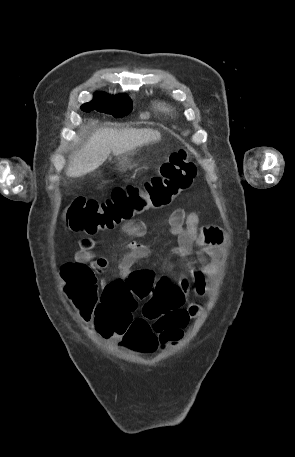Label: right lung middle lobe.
Returning <instances> with one entry per match:
<instances>
[{
  "label": "right lung middle lobe",
  "instance_id": "dd1d6c3e",
  "mask_svg": "<svg viewBox=\"0 0 295 457\" xmlns=\"http://www.w3.org/2000/svg\"><path fill=\"white\" fill-rule=\"evenodd\" d=\"M81 108L86 112L96 110L114 117H123L132 111V101L125 94L111 96L99 93L91 102L83 104Z\"/></svg>",
  "mask_w": 295,
  "mask_h": 457
}]
</instances>
